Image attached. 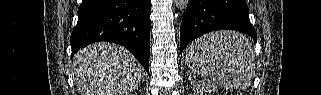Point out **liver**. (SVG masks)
I'll return each instance as SVG.
<instances>
[{"label":"liver","mask_w":321,"mask_h":95,"mask_svg":"<svg viewBox=\"0 0 321 95\" xmlns=\"http://www.w3.org/2000/svg\"><path fill=\"white\" fill-rule=\"evenodd\" d=\"M72 69L81 95H128L142 80L144 70L124 47L99 42L73 57Z\"/></svg>","instance_id":"1"}]
</instances>
